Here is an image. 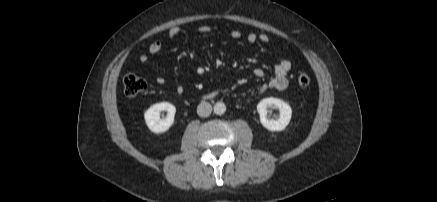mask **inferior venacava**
<instances>
[{
    "instance_id": "602c4592",
    "label": "inferior vena cava",
    "mask_w": 437,
    "mask_h": 202,
    "mask_svg": "<svg viewBox=\"0 0 437 202\" xmlns=\"http://www.w3.org/2000/svg\"><path fill=\"white\" fill-rule=\"evenodd\" d=\"M212 112V106L210 103L202 101L197 107V114L200 117H208Z\"/></svg>"
}]
</instances>
